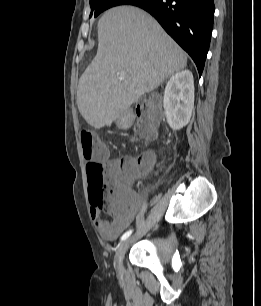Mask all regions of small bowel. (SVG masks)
<instances>
[{
    "instance_id": "obj_1",
    "label": "small bowel",
    "mask_w": 261,
    "mask_h": 306,
    "mask_svg": "<svg viewBox=\"0 0 261 306\" xmlns=\"http://www.w3.org/2000/svg\"><path fill=\"white\" fill-rule=\"evenodd\" d=\"M142 162L144 163L143 171H148L154 165L155 155L151 152L146 153L142 157ZM111 164L116 165L119 169L117 185L127 189L128 195L115 200L113 207L109 210L112 217L111 220L104 219L101 211L97 208L90 210L100 237L107 242H112L118 238L133 221L142 205V198L131 189V184L136 176V170L140 169L139 162L137 163L131 157H126L115 160Z\"/></svg>"
}]
</instances>
